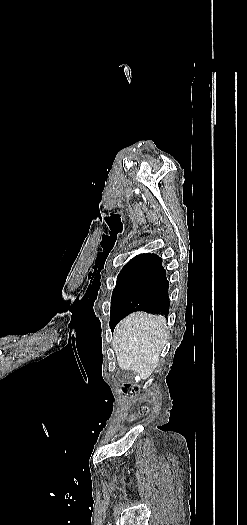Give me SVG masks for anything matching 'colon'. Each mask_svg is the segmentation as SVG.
<instances>
[{"mask_svg":"<svg viewBox=\"0 0 247 525\" xmlns=\"http://www.w3.org/2000/svg\"><path fill=\"white\" fill-rule=\"evenodd\" d=\"M124 392L126 394H134L136 392V388L132 387L130 384H125L124 385ZM148 412V409L146 406L142 407L140 410H139V415L140 416H144L146 413Z\"/></svg>","mask_w":247,"mask_h":525,"instance_id":"obj_1","label":"colon"}]
</instances>
